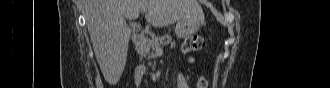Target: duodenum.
<instances>
[{"mask_svg": "<svg viewBox=\"0 0 330 88\" xmlns=\"http://www.w3.org/2000/svg\"><path fill=\"white\" fill-rule=\"evenodd\" d=\"M143 31L142 30H139L137 31L135 37L133 38L134 42H139L142 40L143 38ZM146 72V67L144 65H140L137 69V74L139 76H142L144 73Z\"/></svg>", "mask_w": 330, "mask_h": 88, "instance_id": "1", "label": "duodenum"}]
</instances>
